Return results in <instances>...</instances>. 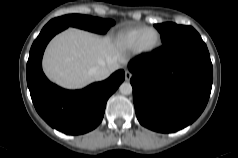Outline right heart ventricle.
<instances>
[{"label":"right heart ventricle","instance_id":"e07e8e85","mask_svg":"<svg viewBox=\"0 0 238 158\" xmlns=\"http://www.w3.org/2000/svg\"><path fill=\"white\" fill-rule=\"evenodd\" d=\"M145 26L130 27L119 33L117 40L125 48H135V44L140 33L146 29Z\"/></svg>","mask_w":238,"mask_h":158}]
</instances>
